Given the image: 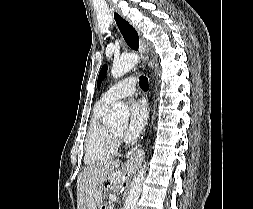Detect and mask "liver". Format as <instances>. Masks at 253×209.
<instances>
[{"label":"liver","mask_w":253,"mask_h":209,"mask_svg":"<svg viewBox=\"0 0 253 209\" xmlns=\"http://www.w3.org/2000/svg\"><path fill=\"white\" fill-rule=\"evenodd\" d=\"M119 167L118 161H105L84 168L77 178V209H98L107 180L111 190L122 188L127 173Z\"/></svg>","instance_id":"1"}]
</instances>
